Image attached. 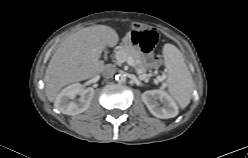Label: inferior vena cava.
Here are the masks:
<instances>
[{
  "mask_svg": "<svg viewBox=\"0 0 248 158\" xmlns=\"http://www.w3.org/2000/svg\"><path fill=\"white\" fill-rule=\"evenodd\" d=\"M115 71H116V68H115L114 65H112V64H107V65L104 67L103 71H102V75H103L104 78H107V79H108V78H112L113 75L115 74Z\"/></svg>",
  "mask_w": 248,
  "mask_h": 158,
  "instance_id": "1",
  "label": "inferior vena cava"
}]
</instances>
